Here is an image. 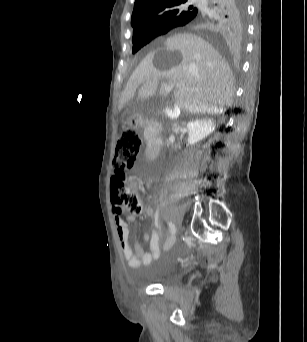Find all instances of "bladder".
Here are the masks:
<instances>
[{
  "instance_id": "obj_1",
  "label": "bladder",
  "mask_w": 307,
  "mask_h": 342,
  "mask_svg": "<svg viewBox=\"0 0 307 342\" xmlns=\"http://www.w3.org/2000/svg\"><path fill=\"white\" fill-rule=\"evenodd\" d=\"M178 273L167 262L160 260L155 265L149 280L152 284L167 286L178 281Z\"/></svg>"
}]
</instances>
